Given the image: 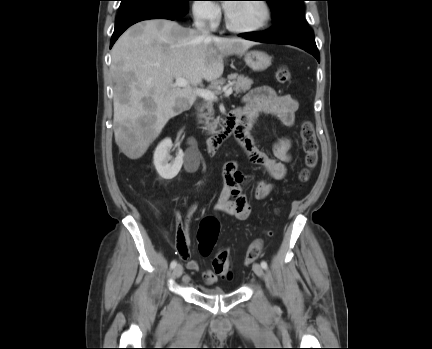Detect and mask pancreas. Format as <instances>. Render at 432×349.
<instances>
[{"mask_svg": "<svg viewBox=\"0 0 432 349\" xmlns=\"http://www.w3.org/2000/svg\"><path fill=\"white\" fill-rule=\"evenodd\" d=\"M229 84L233 85V90L237 95L249 90L253 84V80L234 73L228 76V85ZM204 109H207V112L199 114V117L204 119L203 121L201 120L200 123L205 125L204 129L207 130L209 134H214L216 133L217 125L219 124V118H214L212 101L205 102L200 111L203 112Z\"/></svg>", "mask_w": 432, "mask_h": 349, "instance_id": "pancreas-1", "label": "pancreas"}]
</instances>
